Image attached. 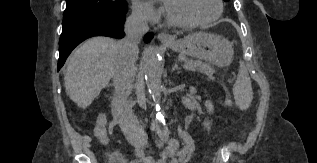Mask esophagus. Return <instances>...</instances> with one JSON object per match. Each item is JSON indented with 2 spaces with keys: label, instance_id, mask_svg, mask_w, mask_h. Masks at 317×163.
<instances>
[{
  "label": "esophagus",
  "instance_id": "obj_1",
  "mask_svg": "<svg viewBox=\"0 0 317 163\" xmlns=\"http://www.w3.org/2000/svg\"><path fill=\"white\" fill-rule=\"evenodd\" d=\"M157 38L161 42H168V41H172L173 40L172 37L169 34L165 33V32L159 33Z\"/></svg>",
  "mask_w": 317,
  "mask_h": 163
}]
</instances>
